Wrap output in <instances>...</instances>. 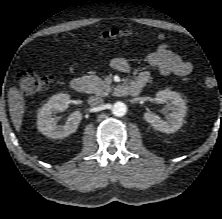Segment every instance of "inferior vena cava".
I'll return each mask as SVG.
<instances>
[{
    "mask_svg": "<svg viewBox=\"0 0 222 219\" xmlns=\"http://www.w3.org/2000/svg\"><path fill=\"white\" fill-rule=\"evenodd\" d=\"M88 104L91 107H100L104 104V100L101 97H98V96H91L88 99Z\"/></svg>",
    "mask_w": 222,
    "mask_h": 219,
    "instance_id": "obj_1",
    "label": "inferior vena cava"
}]
</instances>
